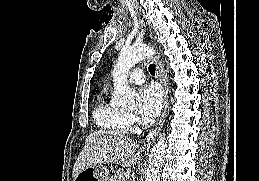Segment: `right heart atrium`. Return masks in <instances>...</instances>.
Here are the masks:
<instances>
[{
	"instance_id": "1",
	"label": "right heart atrium",
	"mask_w": 259,
	"mask_h": 181,
	"mask_svg": "<svg viewBox=\"0 0 259 181\" xmlns=\"http://www.w3.org/2000/svg\"><path fill=\"white\" fill-rule=\"evenodd\" d=\"M126 121L128 127H134L136 124V118L131 114H126Z\"/></svg>"
}]
</instances>
